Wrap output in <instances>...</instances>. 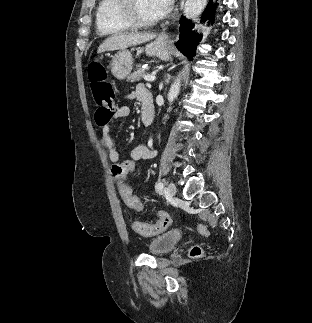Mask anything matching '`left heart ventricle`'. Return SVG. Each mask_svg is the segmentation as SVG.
I'll return each mask as SVG.
<instances>
[{
	"label": "left heart ventricle",
	"instance_id": "obj_1",
	"mask_svg": "<svg viewBox=\"0 0 312 323\" xmlns=\"http://www.w3.org/2000/svg\"><path fill=\"white\" fill-rule=\"evenodd\" d=\"M134 14H139V18H156L155 9L159 8V3L156 0H134Z\"/></svg>",
	"mask_w": 312,
	"mask_h": 323
}]
</instances>
